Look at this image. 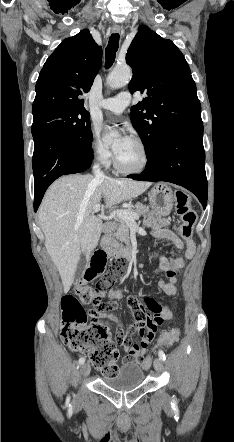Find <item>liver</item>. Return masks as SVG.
<instances>
[{"label":"liver","mask_w":234,"mask_h":442,"mask_svg":"<svg viewBox=\"0 0 234 442\" xmlns=\"http://www.w3.org/2000/svg\"><path fill=\"white\" fill-rule=\"evenodd\" d=\"M150 186L151 182L75 174L57 179L48 188L38 217L64 293L74 281L81 254L88 257L98 245L102 221L93 215V206L103 198L105 208H110L139 196Z\"/></svg>","instance_id":"liver-1"}]
</instances>
